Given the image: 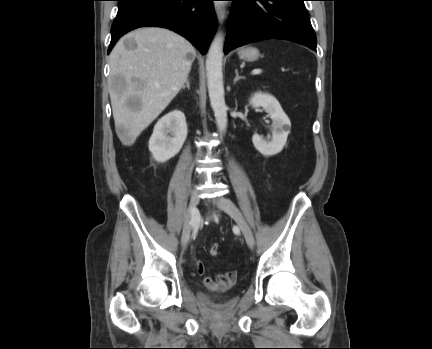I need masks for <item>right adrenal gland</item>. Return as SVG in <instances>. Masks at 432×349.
I'll return each mask as SVG.
<instances>
[{"instance_id": "2a0ac1e0", "label": "right adrenal gland", "mask_w": 432, "mask_h": 349, "mask_svg": "<svg viewBox=\"0 0 432 349\" xmlns=\"http://www.w3.org/2000/svg\"><path fill=\"white\" fill-rule=\"evenodd\" d=\"M185 88H187L188 90L190 89V82H189L188 78L185 81V85L182 86V89H185Z\"/></svg>"}]
</instances>
